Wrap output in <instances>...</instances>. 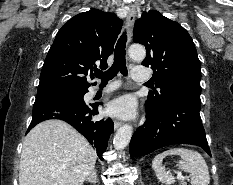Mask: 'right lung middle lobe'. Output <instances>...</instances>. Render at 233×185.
I'll return each mask as SVG.
<instances>
[{
    "mask_svg": "<svg viewBox=\"0 0 233 185\" xmlns=\"http://www.w3.org/2000/svg\"><path fill=\"white\" fill-rule=\"evenodd\" d=\"M87 89H48V90H38L37 96L40 95H62V96H71L76 98H83L84 93Z\"/></svg>",
    "mask_w": 233,
    "mask_h": 185,
    "instance_id": "obj_1",
    "label": "right lung middle lobe"
}]
</instances>
